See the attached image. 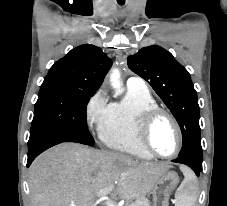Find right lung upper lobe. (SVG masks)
Segmentation results:
<instances>
[{
  "mask_svg": "<svg viewBox=\"0 0 227 206\" xmlns=\"http://www.w3.org/2000/svg\"><path fill=\"white\" fill-rule=\"evenodd\" d=\"M112 65V60L94 45L72 49L50 68L42 86L96 92Z\"/></svg>",
  "mask_w": 227,
  "mask_h": 206,
  "instance_id": "1",
  "label": "right lung upper lobe"
}]
</instances>
